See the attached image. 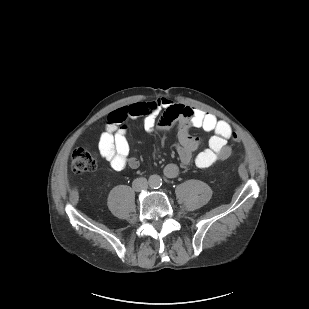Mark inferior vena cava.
<instances>
[{"label":"inferior vena cava","mask_w":309,"mask_h":309,"mask_svg":"<svg viewBox=\"0 0 309 309\" xmlns=\"http://www.w3.org/2000/svg\"><path fill=\"white\" fill-rule=\"evenodd\" d=\"M132 187L134 190L136 191H140L142 189H146L148 187V182L146 178H136L133 183H132Z\"/></svg>","instance_id":"inferior-vena-cava-1"}]
</instances>
